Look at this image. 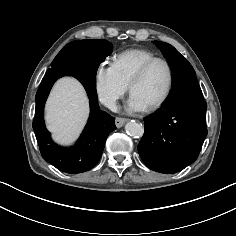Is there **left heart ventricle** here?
Wrapping results in <instances>:
<instances>
[{
	"label": "left heart ventricle",
	"mask_w": 236,
	"mask_h": 236,
	"mask_svg": "<svg viewBox=\"0 0 236 236\" xmlns=\"http://www.w3.org/2000/svg\"><path fill=\"white\" fill-rule=\"evenodd\" d=\"M168 78L167 67L163 63H156L133 89L132 94L148 107L163 96L168 85Z\"/></svg>",
	"instance_id": "1"
}]
</instances>
